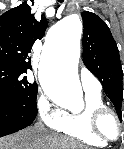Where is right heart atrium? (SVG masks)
Here are the masks:
<instances>
[{"instance_id":"right-heart-atrium-1","label":"right heart atrium","mask_w":124,"mask_h":149,"mask_svg":"<svg viewBox=\"0 0 124 149\" xmlns=\"http://www.w3.org/2000/svg\"><path fill=\"white\" fill-rule=\"evenodd\" d=\"M37 114L45 126L57 130L63 121L65 111L54 104L46 95H40L37 100Z\"/></svg>"}]
</instances>
